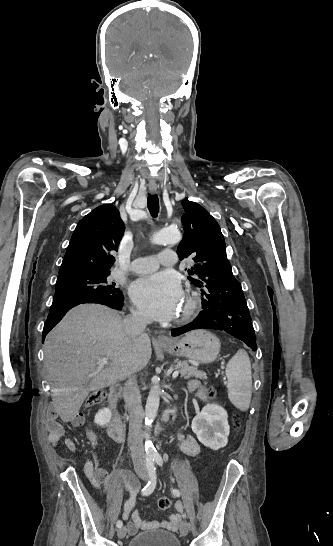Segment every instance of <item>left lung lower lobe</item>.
Segmentation results:
<instances>
[{
    "mask_svg": "<svg viewBox=\"0 0 333 546\" xmlns=\"http://www.w3.org/2000/svg\"><path fill=\"white\" fill-rule=\"evenodd\" d=\"M208 309H203L198 317L188 325L173 329L172 336H178L195 329H216L225 331L242 340L253 351L257 349L255 331L246 301L221 303L211 300ZM206 306L202 299V308Z\"/></svg>",
    "mask_w": 333,
    "mask_h": 546,
    "instance_id": "1",
    "label": "left lung lower lobe"
}]
</instances>
